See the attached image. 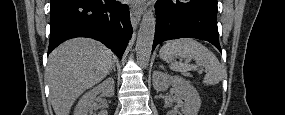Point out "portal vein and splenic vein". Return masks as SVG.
<instances>
[{"label":"portal vein and splenic vein","instance_id":"18ae733b","mask_svg":"<svg viewBox=\"0 0 285 115\" xmlns=\"http://www.w3.org/2000/svg\"><path fill=\"white\" fill-rule=\"evenodd\" d=\"M190 61H185V63L187 64V63H189Z\"/></svg>","mask_w":285,"mask_h":115}]
</instances>
